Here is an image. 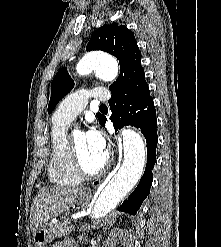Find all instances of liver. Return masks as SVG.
Returning <instances> with one entry per match:
<instances>
[{
	"instance_id": "1",
	"label": "liver",
	"mask_w": 221,
	"mask_h": 247,
	"mask_svg": "<svg viewBox=\"0 0 221 247\" xmlns=\"http://www.w3.org/2000/svg\"><path fill=\"white\" fill-rule=\"evenodd\" d=\"M79 189L68 187H43L31 207L30 225L34 231L53 217L68 210L76 201Z\"/></svg>"
}]
</instances>
